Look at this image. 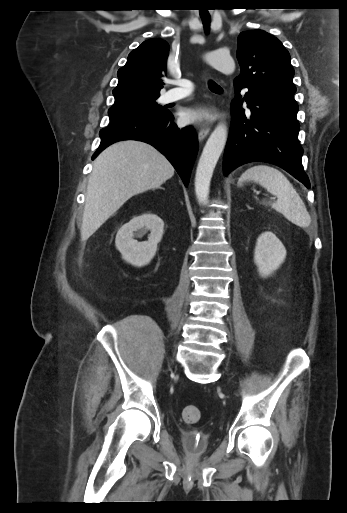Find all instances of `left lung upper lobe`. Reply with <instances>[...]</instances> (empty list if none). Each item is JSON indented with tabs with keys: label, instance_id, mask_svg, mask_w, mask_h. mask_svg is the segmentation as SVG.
I'll list each match as a JSON object with an SVG mask.
<instances>
[{
	"label": "left lung upper lobe",
	"instance_id": "1",
	"mask_svg": "<svg viewBox=\"0 0 347 513\" xmlns=\"http://www.w3.org/2000/svg\"><path fill=\"white\" fill-rule=\"evenodd\" d=\"M237 59L241 72L234 84L253 89L296 91L290 55L280 40L263 30L241 32Z\"/></svg>",
	"mask_w": 347,
	"mask_h": 513
}]
</instances>
